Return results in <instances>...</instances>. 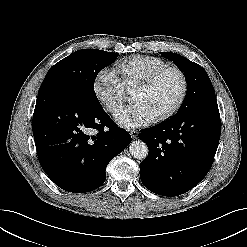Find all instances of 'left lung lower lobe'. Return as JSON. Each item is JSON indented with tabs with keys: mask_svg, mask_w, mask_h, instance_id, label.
Returning a JSON list of instances; mask_svg holds the SVG:
<instances>
[{
	"mask_svg": "<svg viewBox=\"0 0 247 247\" xmlns=\"http://www.w3.org/2000/svg\"><path fill=\"white\" fill-rule=\"evenodd\" d=\"M221 134L218 106L191 109L142 129L139 138L149 153L140 164V178L150 191L178 196L208 173Z\"/></svg>",
	"mask_w": 247,
	"mask_h": 247,
	"instance_id": "1",
	"label": "left lung lower lobe"
}]
</instances>
